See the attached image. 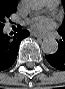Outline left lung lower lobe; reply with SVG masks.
Here are the masks:
<instances>
[{
	"instance_id": "1",
	"label": "left lung lower lobe",
	"mask_w": 65,
	"mask_h": 89,
	"mask_svg": "<svg viewBox=\"0 0 65 89\" xmlns=\"http://www.w3.org/2000/svg\"><path fill=\"white\" fill-rule=\"evenodd\" d=\"M62 40L58 41V50L55 54L45 56L46 60L56 69L65 71V34H60Z\"/></svg>"
}]
</instances>
